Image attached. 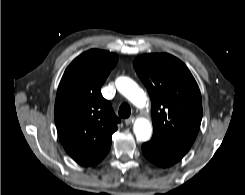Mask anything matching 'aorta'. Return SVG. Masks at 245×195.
Returning a JSON list of instances; mask_svg holds the SVG:
<instances>
[{
	"label": "aorta",
	"mask_w": 245,
	"mask_h": 195,
	"mask_svg": "<svg viewBox=\"0 0 245 195\" xmlns=\"http://www.w3.org/2000/svg\"><path fill=\"white\" fill-rule=\"evenodd\" d=\"M118 91L137 107H143L146 102V96L139 86L130 78L119 77L116 80ZM134 133L138 140L147 141L152 134L151 123L147 119L139 118L134 124Z\"/></svg>",
	"instance_id": "obj_1"
}]
</instances>
